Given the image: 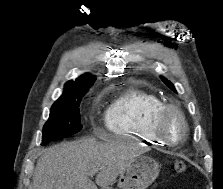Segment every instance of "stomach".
Listing matches in <instances>:
<instances>
[{"label":"stomach","instance_id":"0dacf381","mask_svg":"<svg viewBox=\"0 0 223 189\" xmlns=\"http://www.w3.org/2000/svg\"><path fill=\"white\" fill-rule=\"evenodd\" d=\"M159 172V164L154 159L138 156L130 161L120 174L118 188L146 189L157 178Z\"/></svg>","mask_w":223,"mask_h":189}]
</instances>
